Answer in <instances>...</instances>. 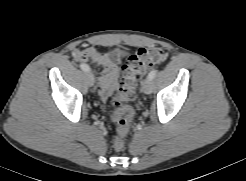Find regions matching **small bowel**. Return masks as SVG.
I'll return each instance as SVG.
<instances>
[{
    "mask_svg": "<svg viewBox=\"0 0 246 181\" xmlns=\"http://www.w3.org/2000/svg\"><path fill=\"white\" fill-rule=\"evenodd\" d=\"M72 56L78 62L92 61L101 68L95 84L101 99L103 101L107 100L118 85L119 63L125 56L124 51L114 48L102 52L95 46H89L84 49H74Z\"/></svg>",
    "mask_w": 246,
    "mask_h": 181,
    "instance_id": "small-bowel-1",
    "label": "small bowel"
}]
</instances>
